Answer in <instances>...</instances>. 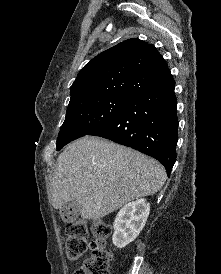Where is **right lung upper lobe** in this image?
<instances>
[{
  "mask_svg": "<svg viewBox=\"0 0 221 274\" xmlns=\"http://www.w3.org/2000/svg\"><path fill=\"white\" fill-rule=\"evenodd\" d=\"M169 74L153 45L129 39L98 54L82 68L71 86L70 102L95 96L134 98Z\"/></svg>",
  "mask_w": 221,
  "mask_h": 274,
  "instance_id": "obj_1",
  "label": "right lung upper lobe"
}]
</instances>
